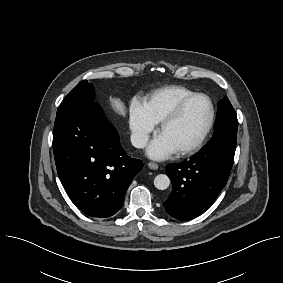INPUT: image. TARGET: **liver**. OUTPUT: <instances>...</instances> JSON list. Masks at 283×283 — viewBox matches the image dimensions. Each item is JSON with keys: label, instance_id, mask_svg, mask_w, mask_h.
<instances>
[{"label": "liver", "instance_id": "6515ba94", "mask_svg": "<svg viewBox=\"0 0 283 283\" xmlns=\"http://www.w3.org/2000/svg\"><path fill=\"white\" fill-rule=\"evenodd\" d=\"M111 105L113 107V109L118 112L121 115L125 114V107L124 105L121 103V101L117 98H111Z\"/></svg>", "mask_w": 283, "mask_h": 283}]
</instances>
